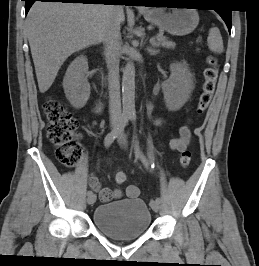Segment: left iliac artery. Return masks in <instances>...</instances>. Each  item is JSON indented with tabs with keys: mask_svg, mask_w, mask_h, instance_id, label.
Instances as JSON below:
<instances>
[{
	"mask_svg": "<svg viewBox=\"0 0 259 266\" xmlns=\"http://www.w3.org/2000/svg\"><path fill=\"white\" fill-rule=\"evenodd\" d=\"M130 119H131L132 122H134L135 119H136V115H134V114L131 115L130 116ZM134 150H135L136 156L142 161V163L146 167H148L149 166V162H148L147 158L144 156L143 152L141 151L140 146H139L137 140H135V143H134ZM155 201H157V202L160 203V198H156Z\"/></svg>",
	"mask_w": 259,
	"mask_h": 266,
	"instance_id": "left-iliac-artery-1",
	"label": "left iliac artery"
}]
</instances>
